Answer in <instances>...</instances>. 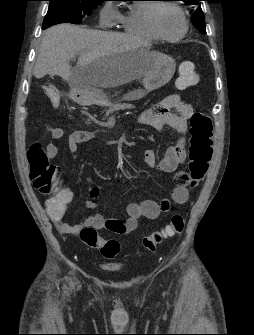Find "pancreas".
I'll use <instances>...</instances> for the list:
<instances>
[{
    "mask_svg": "<svg viewBox=\"0 0 254 335\" xmlns=\"http://www.w3.org/2000/svg\"><path fill=\"white\" fill-rule=\"evenodd\" d=\"M134 108L133 105L131 104H127V103H115V104H111L109 106V109L106 112V115L113 113L114 111H118V110H124V109H132Z\"/></svg>",
    "mask_w": 254,
    "mask_h": 335,
    "instance_id": "1",
    "label": "pancreas"
}]
</instances>
